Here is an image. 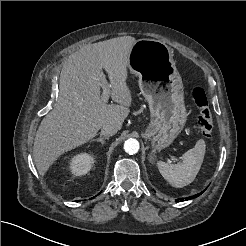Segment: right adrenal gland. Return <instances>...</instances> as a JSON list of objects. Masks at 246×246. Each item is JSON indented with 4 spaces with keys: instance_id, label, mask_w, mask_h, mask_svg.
<instances>
[{
    "instance_id": "right-adrenal-gland-1",
    "label": "right adrenal gland",
    "mask_w": 246,
    "mask_h": 246,
    "mask_svg": "<svg viewBox=\"0 0 246 246\" xmlns=\"http://www.w3.org/2000/svg\"><path fill=\"white\" fill-rule=\"evenodd\" d=\"M108 139H109V137L100 136V137H98L96 139H92L91 142L97 141V142H101V144L104 145L105 144V140H108Z\"/></svg>"
}]
</instances>
